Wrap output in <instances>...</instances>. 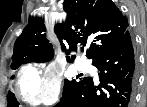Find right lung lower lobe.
I'll use <instances>...</instances> for the list:
<instances>
[{"label":"right lung lower lobe","instance_id":"right-lung-lower-lobe-1","mask_svg":"<svg viewBox=\"0 0 147 107\" xmlns=\"http://www.w3.org/2000/svg\"><path fill=\"white\" fill-rule=\"evenodd\" d=\"M92 65L98 68V77L83 78L55 107H132L137 65L129 31Z\"/></svg>","mask_w":147,"mask_h":107}]
</instances>
